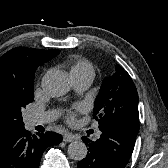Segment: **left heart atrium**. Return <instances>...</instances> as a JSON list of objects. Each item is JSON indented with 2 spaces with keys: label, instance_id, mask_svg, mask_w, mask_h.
I'll return each instance as SVG.
<instances>
[{
  "label": "left heart atrium",
  "instance_id": "39dd6f15",
  "mask_svg": "<svg viewBox=\"0 0 168 168\" xmlns=\"http://www.w3.org/2000/svg\"><path fill=\"white\" fill-rule=\"evenodd\" d=\"M67 119H68V121L73 122V120H74V114H73V113H70V114L68 115Z\"/></svg>",
  "mask_w": 168,
  "mask_h": 168
}]
</instances>
